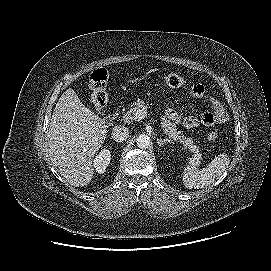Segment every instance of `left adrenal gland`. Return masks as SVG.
<instances>
[{
	"label": "left adrenal gland",
	"mask_w": 271,
	"mask_h": 271,
	"mask_svg": "<svg viewBox=\"0 0 271 271\" xmlns=\"http://www.w3.org/2000/svg\"><path fill=\"white\" fill-rule=\"evenodd\" d=\"M167 142H171L169 139H167V138H164V139H162V138H157V143H158V145L160 146V147H162V145H164V144H166Z\"/></svg>",
	"instance_id": "1"
}]
</instances>
